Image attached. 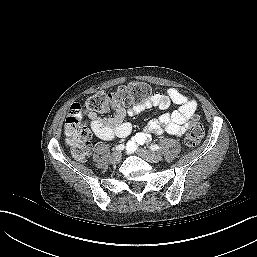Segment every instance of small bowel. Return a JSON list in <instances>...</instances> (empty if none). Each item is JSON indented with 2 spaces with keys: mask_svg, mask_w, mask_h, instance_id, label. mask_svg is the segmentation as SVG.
<instances>
[{
  "mask_svg": "<svg viewBox=\"0 0 257 257\" xmlns=\"http://www.w3.org/2000/svg\"><path fill=\"white\" fill-rule=\"evenodd\" d=\"M171 104L177 105L178 108L149 121L145 132L138 133L128 142V150L133 151L137 145L147 142L153 135H183L197 109L196 101L175 88H169L165 93H154L150 99L130 108L117 107L113 116L104 117L94 112H87L86 116L95 136L109 141L114 138H125L130 134L132 127L125 121L126 116L139 114L152 106L165 109Z\"/></svg>",
  "mask_w": 257,
  "mask_h": 257,
  "instance_id": "obj_1",
  "label": "small bowel"
}]
</instances>
